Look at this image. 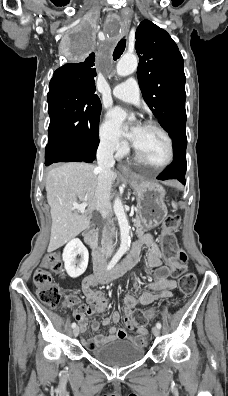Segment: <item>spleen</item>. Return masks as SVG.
<instances>
[{
    "instance_id": "1",
    "label": "spleen",
    "mask_w": 228,
    "mask_h": 396,
    "mask_svg": "<svg viewBox=\"0 0 228 396\" xmlns=\"http://www.w3.org/2000/svg\"><path fill=\"white\" fill-rule=\"evenodd\" d=\"M173 207H174V208H177V204H176V203H174V202H173Z\"/></svg>"
}]
</instances>
